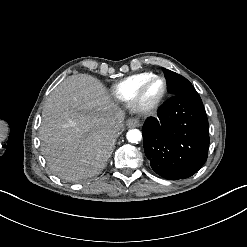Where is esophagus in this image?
<instances>
[{"label":"esophagus","instance_id":"obj_1","mask_svg":"<svg viewBox=\"0 0 247 247\" xmlns=\"http://www.w3.org/2000/svg\"><path fill=\"white\" fill-rule=\"evenodd\" d=\"M126 124L128 127L134 128L140 125V121L137 117H132L127 120Z\"/></svg>","mask_w":247,"mask_h":247}]
</instances>
